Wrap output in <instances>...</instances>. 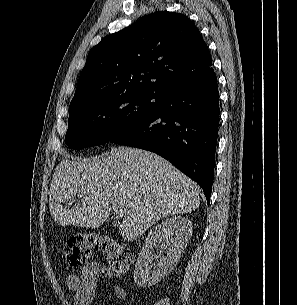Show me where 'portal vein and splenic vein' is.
I'll return each mask as SVG.
<instances>
[{
	"label": "portal vein and splenic vein",
	"instance_id": "1",
	"mask_svg": "<svg viewBox=\"0 0 297 305\" xmlns=\"http://www.w3.org/2000/svg\"><path fill=\"white\" fill-rule=\"evenodd\" d=\"M113 209H114L117 216H119V217L124 216L125 211H124L123 205H115V206H113Z\"/></svg>",
	"mask_w": 297,
	"mask_h": 305
}]
</instances>
